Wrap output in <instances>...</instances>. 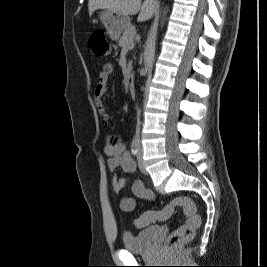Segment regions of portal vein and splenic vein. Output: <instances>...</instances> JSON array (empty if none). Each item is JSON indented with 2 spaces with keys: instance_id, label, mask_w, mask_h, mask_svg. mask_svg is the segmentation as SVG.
I'll use <instances>...</instances> for the list:
<instances>
[{
  "instance_id": "portal-vein-and-splenic-vein-1",
  "label": "portal vein and splenic vein",
  "mask_w": 267,
  "mask_h": 267,
  "mask_svg": "<svg viewBox=\"0 0 267 267\" xmlns=\"http://www.w3.org/2000/svg\"><path fill=\"white\" fill-rule=\"evenodd\" d=\"M133 46H134V43L133 42H131V43H129L128 45H127V48H133Z\"/></svg>"
}]
</instances>
